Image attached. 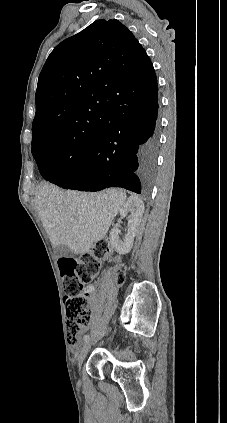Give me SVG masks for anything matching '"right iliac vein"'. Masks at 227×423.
I'll list each match as a JSON object with an SVG mask.
<instances>
[{
	"label": "right iliac vein",
	"instance_id": "1",
	"mask_svg": "<svg viewBox=\"0 0 227 423\" xmlns=\"http://www.w3.org/2000/svg\"><path fill=\"white\" fill-rule=\"evenodd\" d=\"M104 331H105V329H104V330H103V332H102L101 334H99L96 338L91 339V340H88L87 342H85V343H84V345H83V347H82V349H81L80 355H79V357H78V369H79V370L81 369V366H82V364H83V362H84V360H85L86 355H87V354H88V352H89V349L91 348V346H92L95 342H97V340H98V339H100V338L103 336Z\"/></svg>",
	"mask_w": 227,
	"mask_h": 423
}]
</instances>
